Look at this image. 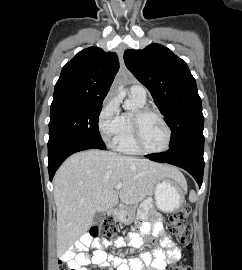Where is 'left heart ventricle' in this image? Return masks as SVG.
Here are the masks:
<instances>
[{
  "instance_id": "left-heart-ventricle-1",
  "label": "left heart ventricle",
  "mask_w": 242,
  "mask_h": 270,
  "mask_svg": "<svg viewBox=\"0 0 242 270\" xmlns=\"http://www.w3.org/2000/svg\"><path fill=\"white\" fill-rule=\"evenodd\" d=\"M166 139V129L156 116H149L143 121L142 140L148 149L158 150L163 148Z\"/></svg>"
}]
</instances>
